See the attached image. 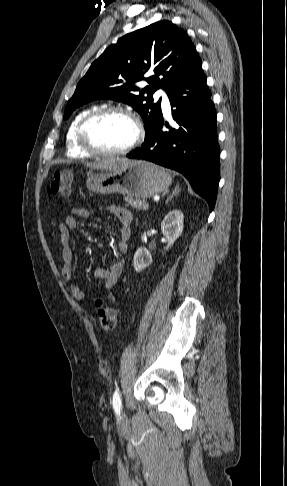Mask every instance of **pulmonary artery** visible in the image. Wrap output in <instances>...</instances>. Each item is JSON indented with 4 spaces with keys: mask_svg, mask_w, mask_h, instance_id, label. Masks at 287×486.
Here are the masks:
<instances>
[{
    "mask_svg": "<svg viewBox=\"0 0 287 486\" xmlns=\"http://www.w3.org/2000/svg\"><path fill=\"white\" fill-rule=\"evenodd\" d=\"M156 97H161L162 98V107L166 112H169L170 110V103L167 95L165 94L164 91L159 90L156 92Z\"/></svg>",
    "mask_w": 287,
    "mask_h": 486,
    "instance_id": "obj_1",
    "label": "pulmonary artery"
}]
</instances>
